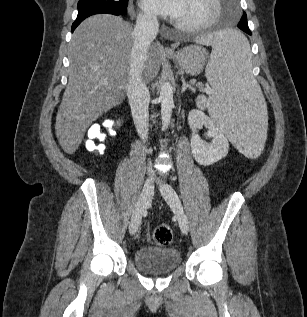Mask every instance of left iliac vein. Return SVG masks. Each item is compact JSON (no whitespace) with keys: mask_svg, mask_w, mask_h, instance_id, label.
<instances>
[{"mask_svg":"<svg viewBox=\"0 0 307 317\" xmlns=\"http://www.w3.org/2000/svg\"><path fill=\"white\" fill-rule=\"evenodd\" d=\"M160 190L165 201L176 213L181 231L187 234L189 231V222L176 191L168 184L161 185Z\"/></svg>","mask_w":307,"mask_h":317,"instance_id":"left-iliac-vein-1","label":"left iliac vein"}]
</instances>
